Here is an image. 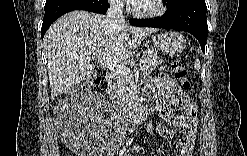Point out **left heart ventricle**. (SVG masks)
Instances as JSON below:
<instances>
[{
	"label": "left heart ventricle",
	"instance_id": "left-heart-ventricle-1",
	"mask_svg": "<svg viewBox=\"0 0 247 156\" xmlns=\"http://www.w3.org/2000/svg\"><path fill=\"white\" fill-rule=\"evenodd\" d=\"M135 5L141 12H146L154 7V1H139Z\"/></svg>",
	"mask_w": 247,
	"mask_h": 156
}]
</instances>
